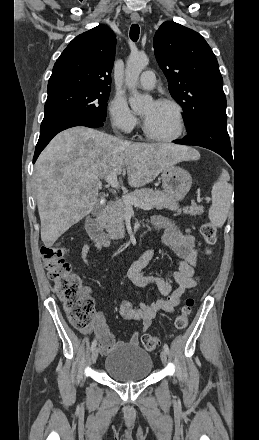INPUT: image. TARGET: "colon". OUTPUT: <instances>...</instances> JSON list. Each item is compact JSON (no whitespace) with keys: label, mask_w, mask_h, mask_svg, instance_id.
<instances>
[{"label":"colon","mask_w":259,"mask_h":440,"mask_svg":"<svg viewBox=\"0 0 259 440\" xmlns=\"http://www.w3.org/2000/svg\"><path fill=\"white\" fill-rule=\"evenodd\" d=\"M201 235L209 253V247L217 240L216 227L210 222L204 223L201 226ZM40 252L48 277L54 282L55 291L64 305L69 321L75 327L85 329L93 318L94 302L84 292L80 278L72 272L70 264L66 261L65 247L60 244L46 245L41 247ZM193 305L194 299L187 298L174 321L176 331L187 327ZM142 343L147 350L152 351L160 346V339L146 334L142 336Z\"/></svg>","instance_id":"5ec220e1"}]
</instances>
